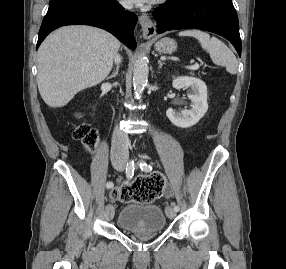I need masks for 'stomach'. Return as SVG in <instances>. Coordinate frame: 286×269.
Masks as SVG:
<instances>
[{
    "label": "stomach",
    "mask_w": 286,
    "mask_h": 269,
    "mask_svg": "<svg viewBox=\"0 0 286 269\" xmlns=\"http://www.w3.org/2000/svg\"><path fill=\"white\" fill-rule=\"evenodd\" d=\"M156 51L164 54H171L177 49V43L170 38H163L155 44Z\"/></svg>",
    "instance_id": "1"
}]
</instances>
